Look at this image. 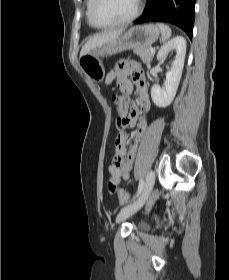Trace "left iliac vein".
<instances>
[{"label":"left iliac vein","mask_w":229,"mask_h":280,"mask_svg":"<svg viewBox=\"0 0 229 280\" xmlns=\"http://www.w3.org/2000/svg\"><path fill=\"white\" fill-rule=\"evenodd\" d=\"M155 182V173L153 170L149 171L146 179H145V184L142 190V193L139 195V197L131 204L128 206L124 207L117 215L116 217V222L119 223L128 217L132 216L135 214L137 211H139L145 202L147 201L153 186Z\"/></svg>","instance_id":"left-iliac-vein-1"}]
</instances>
